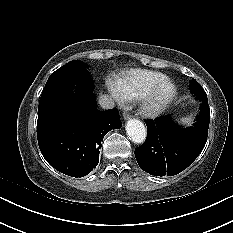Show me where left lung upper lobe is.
<instances>
[{
	"label": "left lung upper lobe",
	"mask_w": 233,
	"mask_h": 233,
	"mask_svg": "<svg viewBox=\"0 0 233 233\" xmlns=\"http://www.w3.org/2000/svg\"><path fill=\"white\" fill-rule=\"evenodd\" d=\"M190 90L199 100H202L203 97L206 96L204 89L195 79L190 81Z\"/></svg>",
	"instance_id": "1"
}]
</instances>
